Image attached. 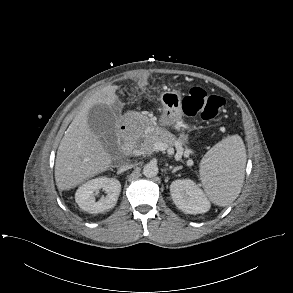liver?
<instances>
[{
  "mask_svg": "<svg viewBox=\"0 0 293 293\" xmlns=\"http://www.w3.org/2000/svg\"><path fill=\"white\" fill-rule=\"evenodd\" d=\"M117 89L109 85L97 91L66 130L55 162V181L60 191L70 190L110 167L112 159L91 131L88 112L96 104L113 105L118 100Z\"/></svg>",
  "mask_w": 293,
  "mask_h": 293,
  "instance_id": "liver-1",
  "label": "liver"
}]
</instances>
